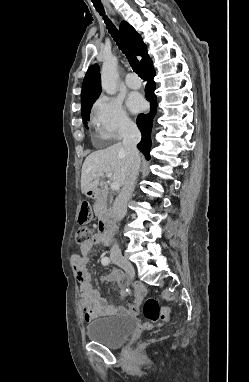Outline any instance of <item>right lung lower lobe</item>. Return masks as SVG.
<instances>
[{"mask_svg": "<svg viewBox=\"0 0 249 382\" xmlns=\"http://www.w3.org/2000/svg\"><path fill=\"white\" fill-rule=\"evenodd\" d=\"M146 74L148 75L149 81L146 85V98L151 103V109L149 113L139 114L137 117V126L142 133L141 142L137 145L138 149L145 155L147 159H150L149 151L151 147V127L153 117L157 111V98L154 94L155 83L153 81V77L155 76V71L152 65L151 59L147 61V63L143 66Z\"/></svg>", "mask_w": 249, "mask_h": 382, "instance_id": "right-lung-lower-lobe-1", "label": "right lung lower lobe"}]
</instances>
